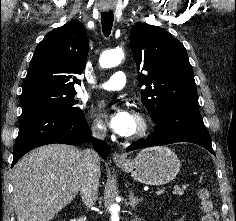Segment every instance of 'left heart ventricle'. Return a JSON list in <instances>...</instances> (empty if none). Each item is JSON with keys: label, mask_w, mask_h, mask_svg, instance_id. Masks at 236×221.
<instances>
[{"label": "left heart ventricle", "mask_w": 236, "mask_h": 221, "mask_svg": "<svg viewBox=\"0 0 236 221\" xmlns=\"http://www.w3.org/2000/svg\"><path fill=\"white\" fill-rule=\"evenodd\" d=\"M136 129H137V122L134 118L133 119V125H132V128H131V131H130L129 135L132 134L133 132H135Z\"/></svg>", "instance_id": "left-heart-ventricle-1"}]
</instances>
